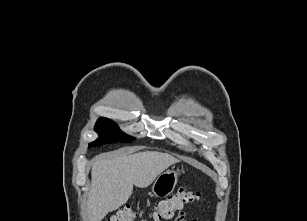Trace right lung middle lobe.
I'll return each instance as SVG.
<instances>
[{"label":"right lung middle lobe","mask_w":307,"mask_h":221,"mask_svg":"<svg viewBox=\"0 0 307 221\" xmlns=\"http://www.w3.org/2000/svg\"><path fill=\"white\" fill-rule=\"evenodd\" d=\"M95 131L99 134V138L93 143H90L89 148L92 146H101L106 143L129 142L134 140V138L120 131L118 126L108 118L98 119L95 125Z\"/></svg>","instance_id":"dd1d6c3e"}]
</instances>
